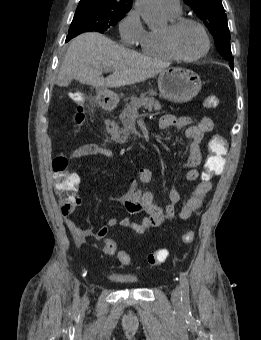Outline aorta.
Returning <instances> with one entry per match:
<instances>
[{
	"mask_svg": "<svg viewBox=\"0 0 261 340\" xmlns=\"http://www.w3.org/2000/svg\"><path fill=\"white\" fill-rule=\"evenodd\" d=\"M136 7L149 26L163 23L164 19L160 11L159 0H136Z\"/></svg>",
	"mask_w": 261,
	"mask_h": 340,
	"instance_id": "762f6f07",
	"label": "aorta"
}]
</instances>
